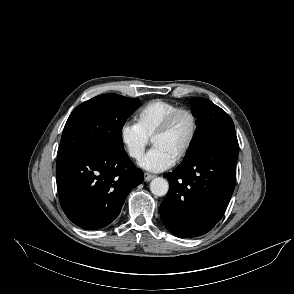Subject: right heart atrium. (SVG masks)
<instances>
[{"label": "right heart atrium", "instance_id": "right-heart-atrium-1", "mask_svg": "<svg viewBox=\"0 0 294 294\" xmlns=\"http://www.w3.org/2000/svg\"><path fill=\"white\" fill-rule=\"evenodd\" d=\"M120 142L133 160H140L149 144V138L141 131L137 123L125 122L119 132Z\"/></svg>", "mask_w": 294, "mask_h": 294}]
</instances>
